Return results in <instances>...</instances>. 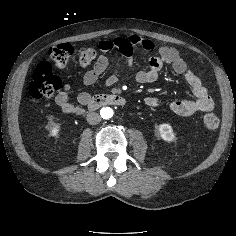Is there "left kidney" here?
<instances>
[{
  "label": "left kidney",
  "instance_id": "obj_1",
  "mask_svg": "<svg viewBox=\"0 0 236 236\" xmlns=\"http://www.w3.org/2000/svg\"><path fill=\"white\" fill-rule=\"evenodd\" d=\"M159 134L160 137L167 142L173 141L175 135L173 133V129L169 124H161L159 125Z\"/></svg>",
  "mask_w": 236,
  "mask_h": 236
}]
</instances>
